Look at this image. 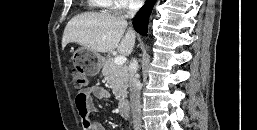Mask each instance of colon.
Returning a JSON list of instances; mask_svg holds the SVG:
<instances>
[{
  "instance_id": "5ec220e1",
  "label": "colon",
  "mask_w": 257,
  "mask_h": 130,
  "mask_svg": "<svg viewBox=\"0 0 257 130\" xmlns=\"http://www.w3.org/2000/svg\"><path fill=\"white\" fill-rule=\"evenodd\" d=\"M73 84L76 88H82L87 85V78L84 73L79 70L73 71Z\"/></svg>"
}]
</instances>
